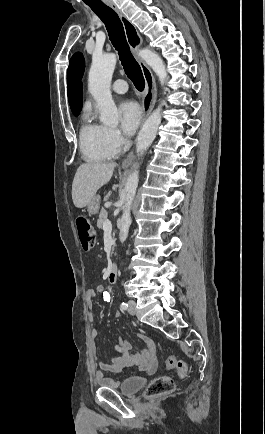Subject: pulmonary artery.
Returning <instances> with one entry per match:
<instances>
[{"label":"pulmonary artery","mask_w":265,"mask_h":434,"mask_svg":"<svg viewBox=\"0 0 265 434\" xmlns=\"http://www.w3.org/2000/svg\"><path fill=\"white\" fill-rule=\"evenodd\" d=\"M129 89H130L129 81L118 80L113 85V90L119 94H124Z\"/></svg>","instance_id":"1"}]
</instances>
